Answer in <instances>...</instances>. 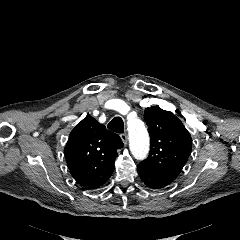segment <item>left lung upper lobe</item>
Masks as SVG:
<instances>
[{"label":"left lung upper lobe","instance_id":"obj_1","mask_svg":"<svg viewBox=\"0 0 240 240\" xmlns=\"http://www.w3.org/2000/svg\"><path fill=\"white\" fill-rule=\"evenodd\" d=\"M151 149L140 163L174 181L191 153L192 139L182 122L171 112L153 106L145 109Z\"/></svg>","mask_w":240,"mask_h":240}]
</instances>
